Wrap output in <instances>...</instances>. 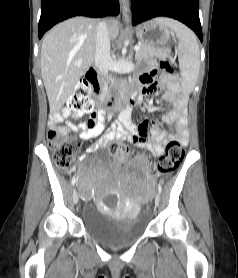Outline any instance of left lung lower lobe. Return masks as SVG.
<instances>
[{
  "label": "left lung lower lobe",
  "instance_id": "left-lung-lower-lobe-1",
  "mask_svg": "<svg viewBox=\"0 0 238 278\" xmlns=\"http://www.w3.org/2000/svg\"><path fill=\"white\" fill-rule=\"evenodd\" d=\"M157 16H167L183 22L202 41L199 0H132L133 25Z\"/></svg>",
  "mask_w": 238,
  "mask_h": 278
}]
</instances>
